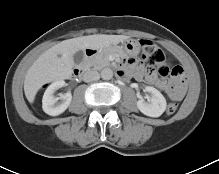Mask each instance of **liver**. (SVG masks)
<instances>
[{
    "mask_svg": "<svg viewBox=\"0 0 219 174\" xmlns=\"http://www.w3.org/2000/svg\"><path fill=\"white\" fill-rule=\"evenodd\" d=\"M125 35L95 34L64 40L49 48L28 69L24 80V93L33 103L38 90L45 84L69 79L73 72L74 54L91 49L103 50L112 44L127 40Z\"/></svg>",
    "mask_w": 219,
    "mask_h": 174,
    "instance_id": "obj_1",
    "label": "liver"
}]
</instances>
